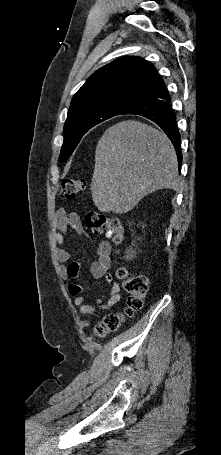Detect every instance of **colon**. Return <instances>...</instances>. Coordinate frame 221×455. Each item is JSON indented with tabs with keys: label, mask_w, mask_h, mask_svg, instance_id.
Here are the masks:
<instances>
[{
	"label": "colon",
	"mask_w": 221,
	"mask_h": 455,
	"mask_svg": "<svg viewBox=\"0 0 221 455\" xmlns=\"http://www.w3.org/2000/svg\"><path fill=\"white\" fill-rule=\"evenodd\" d=\"M85 187L86 182L82 178L65 179L61 184L60 199L70 201ZM86 225L95 234L105 233L115 244H120L124 240V228L117 217L90 212L86 215ZM116 275L127 294V305L122 313L108 315L97 325L95 329L97 336H104L108 332L116 330L125 318L132 316L143 307L144 297L148 290V278L142 274L133 275L125 267H119Z\"/></svg>",
	"instance_id": "1"
}]
</instances>
